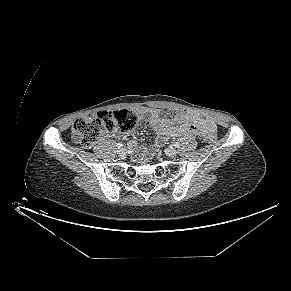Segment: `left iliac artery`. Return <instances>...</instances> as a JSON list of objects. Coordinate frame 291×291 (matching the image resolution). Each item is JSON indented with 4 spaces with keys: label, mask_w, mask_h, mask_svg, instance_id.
<instances>
[{
    "label": "left iliac artery",
    "mask_w": 291,
    "mask_h": 291,
    "mask_svg": "<svg viewBox=\"0 0 291 291\" xmlns=\"http://www.w3.org/2000/svg\"><path fill=\"white\" fill-rule=\"evenodd\" d=\"M179 146H180L179 142H175V143H174V147H175V148H178Z\"/></svg>",
    "instance_id": "44dca946"
}]
</instances>
